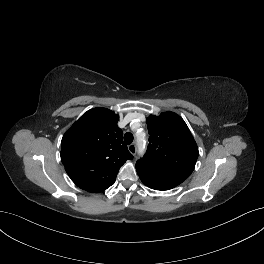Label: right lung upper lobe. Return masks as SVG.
Here are the masks:
<instances>
[{
  "label": "right lung upper lobe",
  "instance_id": "1",
  "mask_svg": "<svg viewBox=\"0 0 264 264\" xmlns=\"http://www.w3.org/2000/svg\"><path fill=\"white\" fill-rule=\"evenodd\" d=\"M119 116L106 108L84 113L66 131L61 160L72 181L89 192H102L114 184L120 167L131 160L117 126Z\"/></svg>",
  "mask_w": 264,
  "mask_h": 264
}]
</instances>
